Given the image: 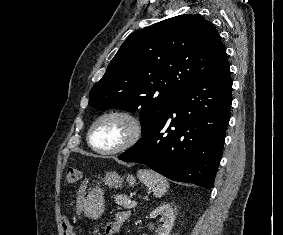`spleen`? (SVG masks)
<instances>
[{"instance_id":"1","label":"spleen","mask_w":283,"mask_h":235,"mask_svg":"<svg viewBox=\"0 0 283 235\" xmlns=\"http://www.w3.org/2000/svg\"><path fill=\"white\" fill-rule=\"evenodd\" d=\"M137 176L141 182L153 191L156 198L164 196L169 188V182L167 179L152 170H138Z\"/></svg>"}]
</instances>
